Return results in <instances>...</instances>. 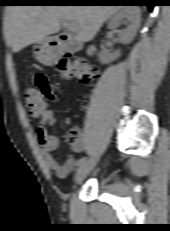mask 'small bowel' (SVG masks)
<instances>
[{
  "label": "small bowel",
  "instance_id": "small-bowel-1",
  "mask_svg": "<svg viewBox=\"0 0 170 231\" xmlns=\"http://www.w3.org/2000/svg\"><path fill=\"white\" fill-rule=\"evenodd\" d=\"M35 83L38 89L49 100H56V96L52 93V88L43 74H38L35 77ZM57 122V117L54 111L44 110L40 115L39 125L36 127V135L41 147V155L45 166L54 171L60 177H66L76 165V160L72 154L68 155L63 163L58 162L53 156V152L59 148L60 141L57 135L48 134L45 125H54ZM86 146L85 138L79 135L71 142V152L79 153Z\"/></svg>",
  "mask_w": 170,
  "mask_h": 231
}]
</instances>
